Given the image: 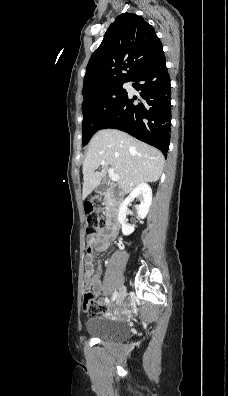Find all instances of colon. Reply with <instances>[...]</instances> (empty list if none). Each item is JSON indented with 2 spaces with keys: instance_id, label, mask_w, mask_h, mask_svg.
Instances as JSON below:
<instances>
[{
  "instance_id": "obj_1",
  "label": "colon",
  "mask_w": 228,
  "mask_h": 396,
  "mask_svg": "<svg viewBox=\"0 0 228 396\" xmlns=\"http://www.w3.org/2000/svg\"><path fill=\"white\" fill-rule=\"evenodd\" d=\"M101 203V198L95 197L92 202H86L84 205L87 214V234L89 239L93 237L97 230L102 229L104 226V220L93 212L94 208L101 205ZM94 230L96 231L93 233ZM83 304L85 311L90 315L111 314L114 316L116 313H111L107 304L98 302L94 293L89 290L84 294Z\"/></svg>"
}]
</instances>
